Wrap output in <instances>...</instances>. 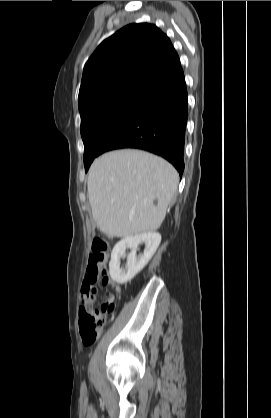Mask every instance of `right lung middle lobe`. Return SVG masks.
I'll use <instances>...</instances> for the list:
<instances>
[{
	"label": "right lung middle lobe",
	"instance_id": "obj_1",
	"mask_svg": "<svg viewBox=\"0 0 271 418\" xmlns=\"http://www.w3.org/2000/svg\"><path fill=\"white\" fill-rule=\"evenodd\" d=\"M151 100L123 94L93 103L81 110V135L84 143L85 171L100 154L108 138L124 123L134 117Z\"/></svg>",
	"mask_w": 271,
	"mask_h": 418
}]
</instances>
